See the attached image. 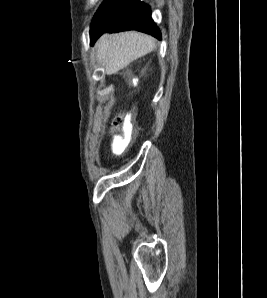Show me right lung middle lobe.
Wrapping results in <instances>:
<instances>
[{
  "instance_id": "obj_1",
  "label": "right lung middle lobe",
  "mask_w": 267,
  "mask_h": 298,
  "mask_svg": "<svg viewBox=\"0 0 267 298\" xmlns=\"http://www.w3.org/2000/svg\"><path fill=\"white\" fill-rule=\"evenodd\" d=\"M109 0H105L101 6L99 7V9L97 10L95 16H94V19L101 13V11L104 9L105 5L108 3ZM93 19V20H94Z\"/></svg>"
}]
</instances>
